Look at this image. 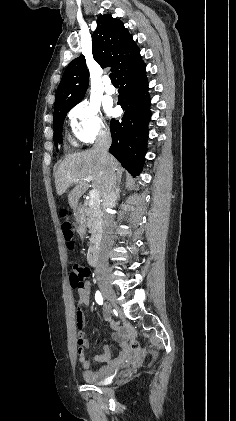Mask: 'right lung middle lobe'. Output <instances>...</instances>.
<instances>
[{
	"mask_svg": "<svg viewBox=\"0 0 236 421\" xmlns=\"http://www.w3.org/2000/svg\"><path fill=\"white\" fill-rule=\"evenodd\" d=\"M76 104L77 103L62 106V107L54 110L53 129H54V142H55L56 147H57L58 143L62 142V127H63V122H64V119L66 117V114Z\"/></svg>",
	"mask_w": 236,
	"mask_h": 421,
	"instance_id": "right-lung-middle-lobe-1",
	"label": "right lung middle lobe"
}]
</instances>
